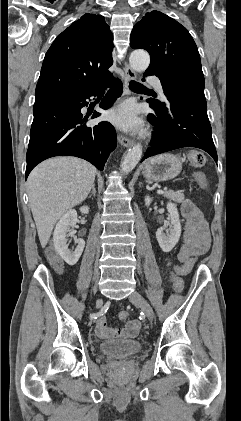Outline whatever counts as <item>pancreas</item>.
I'll list each match as a JSON object with an SVG mask.
<instances>
[{
    "instance_id": "pancreas-1",
    "label": "pancreas",
    "mask_w": 241,
    "mask_h": 421,
    "mask_svg": "<svg viewBox=\"0 0 241 421\" xmlns=\"http://www.w3.org/2000/svg\"><path fill=\"white\" fill-rule=\"evenodd\" d=\"M164 197L173 200L174 202L181 203L184 200V194L180 192L166 191L162 193Z\"/></svg>"
}]
</instances>
